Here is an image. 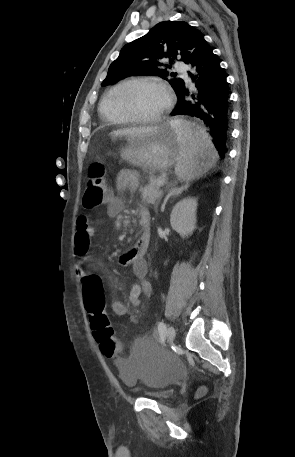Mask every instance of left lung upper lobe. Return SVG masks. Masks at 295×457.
<instances>
[{
	"mask_svg": "<svg viewBox=\"0 0 295 457\" xmlns=\"http://www.w3.org/2000/svg\"><path fill=\"white\" fill-rule=\"evenodd\" d=\"M203 39V34L186 22H160L146 35L122 48L119 57L111 63L102 86L130 76H159L167 80L177 93L184 81L176 78V73H170L174 78L167 79L169 73L164 66L171 68L177 58L187 64ZM163 58H169L170 65H165Z\"/></svg>",
	"mask_w": 295,
	"mask_h": 457,
	"instance_id": "1",
	"label": "left lung upper lobe"
}]
</instances>
